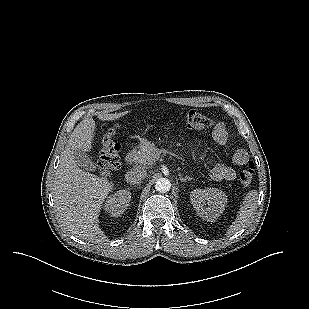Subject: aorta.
Masks as SVG:
<instances>
[{
  "label": "aorta",
  "instance_id": "1",
  "mask_svg": "<svg viewBox=\"0 0 309 309\" xmlns=\"http://www.w3.org/2000/svg\"><path fill=\"white\" fill-rule=\"evenodd\" d=\"M171 188V183L167 178H159L155 183L156 191L160 193L168 192Z\"/></svg>",
  "mask_w": 309,
  "mask_h": 309
}]
</instances>
